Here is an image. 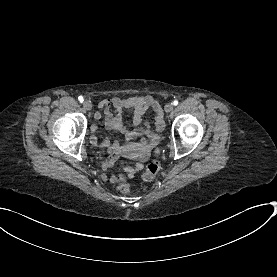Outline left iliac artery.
<instances>
[{
	"instance_id": "44dca946",
	"label": "left iliac artery",
	"mask_w": 277,
	"mask_h": 277,
	"mask_svg": "<svg viewBox=\"0 0 277 277\" xmlns=\"http://www.w3.org/2000/svg\"><path fill=\"white\" fill-rule=\"evenodd\" d=\"M173 105H174V106L178 105V101L175 100V101L173 102Z\"/></svg>"
}]
</instances>
